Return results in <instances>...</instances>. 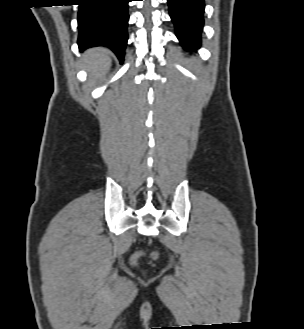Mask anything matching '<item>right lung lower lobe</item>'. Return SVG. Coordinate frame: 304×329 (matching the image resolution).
Segmentation results:
<instances>
[{
  "label": "right lung lower lobe",
  "mask_w": 304,
  "mask_h": 329,
  "mask_svg": "<svg viewBox=\"0 0 304 329\" xmlns=\"http://www.w3.org/2000/svg\"><path fill=\"white\" fill-rule=\"evenodd\" d=\"M79 1L77 43L80 51L94 46H106L123 61L128 40L130 0Z\"/></svg>",
  "instance_id": "98d812e1"
}]
</instances>
